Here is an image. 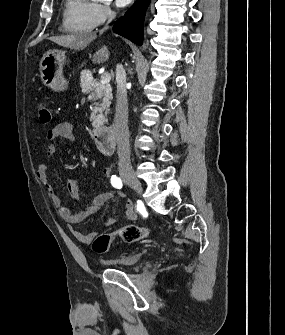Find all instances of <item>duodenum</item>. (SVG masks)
Here are the masks:
<instances>
[{"label": "duodenum", "instance_id": "410a0bca", "mask_svg": "<svg viewBox=\"0 0 285 335\" xmlns=\"http://www.w3.org/2000/svg\"><path fill=\"white\" fill-rule=\"evenodd\" d=\"M93 137L98 149L105 155H111L116 148V136L112 128L98 126L93 131Z\"/></svg>", "mask_w": 285, "mask_h": 335}]
</instances>
